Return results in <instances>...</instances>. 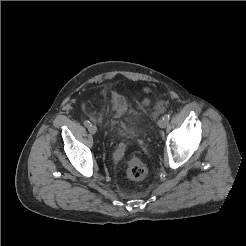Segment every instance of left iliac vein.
<instances>
[{
  "instance_id": "1",
  "label": "left iliac vein",
  "mask_w": 246,
  "mask_h": 246,
  "mask_svg": "<svg viewBox=\"0 0 246 246\" xmlns=\"http://www.w3.org/2000/svg\"><path fill=\"white\" fill-rule=\"evenodd\" d=\"M166 124H167V122H166L165 120H163V119H160V120L158 121V126H159L160 128H165V127H166Z\"/></svg>"
}]
</instances>
